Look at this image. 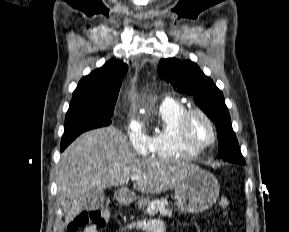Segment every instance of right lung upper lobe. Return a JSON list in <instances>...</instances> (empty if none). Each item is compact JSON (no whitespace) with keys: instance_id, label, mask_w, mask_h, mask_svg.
<instances>
[{"instance_id":"right-lung-upper-lobe-1","label":"right lung upper lobe","mask_w":289,"mask_h":232,"mask_svg":"<svg viewBox=\"0 0 289 232\" xmlns=\"http://www.w3.org/2000/svg\"><path fill=\"white\" fill-rule=\"evenodd\" d=\"M128 66L120 61H109L103 67L83 77L73 98L79 97H111L117 96Z\"/></svg>"}]
</instances>
